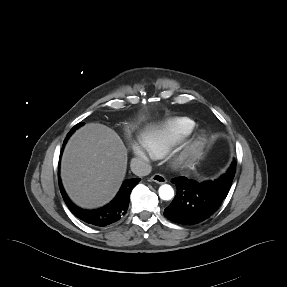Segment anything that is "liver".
Segmentation results:
<instances>
[{
	"label": "liver",
	"instance_id": "6515ba94",
	"mask_svg": "<svg viewBox=\"0 0 287 287\" xmlns=\"http://www.w3.org/2000/svg\"><path fill=\"white\" fill-rule=\"evenodd\" d=\"M127 150L111 128L88 123L69 139L61 160L64 188L77 205L96 208L108 203L126 174Z\"/></svg>",
	"mask_w": 287,
	"mask_h": 287
}]
</instances>
